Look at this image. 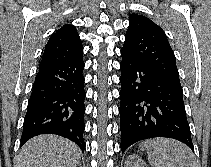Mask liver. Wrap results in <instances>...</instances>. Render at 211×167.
I'll list each match as a JSON object with an SVG mask.
<instances>
[{
	"label": "liver",
	"instance_id": "6515ba94",
	"mask_svg": "<svg viewBox=\"0 0 211 167\" xmlns=\"http://www.w3.org/2000/svg\"><path fill=\"white\" fill-rule=\"evenodd\" d=\"M81 155L80 148L65 138L40 135L21 148L16 167H76Z\"/></svg>",
	"mask_w": 211,
	"mask_h": 167
}]
</instances>
